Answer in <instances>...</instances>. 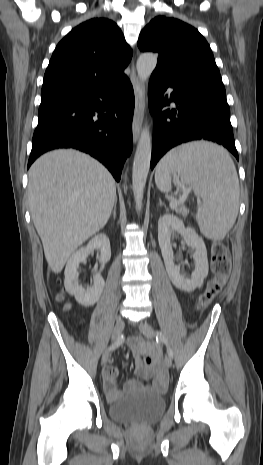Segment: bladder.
I'll list each match as a JSON object with an SVG mask.
<instances>
[{"instance_id": "31cf9c89", "label": "bladder", "mask_w": 263, "mask_h": 465, "mask_svg": "<svg viewBox=\"0 0 263 465\" xmlns=\"http://www.w3.org/2000/svg\"><path fill=\"white\" fill-rule=\"evenodd\" d=\"M165 410L162 396L140 391L127 394L112 402L109 407L110 417L118 422L149 425L157 422Z\"/></svg>"}]
</instances>
